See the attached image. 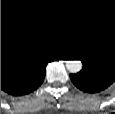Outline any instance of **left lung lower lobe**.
Returning <instances> with one entry per match:
<instances>
[{"instance_id": "obj_1", "label": "left lung lower lobe", "mask_w": 115, "mask_h": 114, "mask_svg": "<svg viewBox=\"0 0 115 114\" xmlns=\"http://www.w3.org/2000/svg\"><path fill=\"white\" fill-rule=\"evenodd\" d=\"M73 84L80 90L96 93L104 90L115 81V74L93 66H83L77 74H70Z\"/></svg>"}]
</instances>
